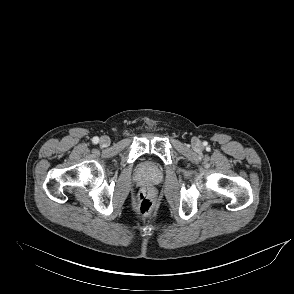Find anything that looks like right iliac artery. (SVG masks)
<instances>
[{"label":"right iliac artery","instance_id":"82829eb1","mask_svg":"<svg viewBox=\"0 0 294 294\" xmlns=\"http://www.w3.org/2000/svg\"><path fill=\"white\" fill-rule=\"evenodd\" d=\"M92 141H93V143L97 144L99 142V138L98 137H94Z\"/></svg>","mask_w":294,"mask_h":294}]
</instances>
